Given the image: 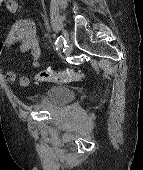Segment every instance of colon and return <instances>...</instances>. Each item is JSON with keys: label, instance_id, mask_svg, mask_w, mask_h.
Instances as JSON below:
<instances>
[{"label": "colon", "instance_id": "5ec220e1", "mask_svg": "<svg viewBox=\"0 0 143 170\" xmlns=\"http://www.w3.org/2000/svg\"><path fill=\"white\" fill-rule=\"evenodd\" d=\"M7 3V0H0V5ZM85 78V73L82 70L66 69L62 71L43 70L36 75L39 82H54V83H69L79 82ZM28 81L23 79L22 86H26Z\"/></svg>", "mask_w": 143, "mask_h": 170}]
</instances>
